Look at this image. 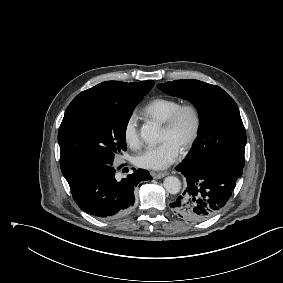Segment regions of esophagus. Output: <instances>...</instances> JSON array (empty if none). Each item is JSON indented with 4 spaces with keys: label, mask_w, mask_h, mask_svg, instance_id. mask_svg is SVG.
<instances>
[{
    "label": "esophagus",
    "mask_w": 283,
    "mask_h": 283,
    "mask_svg": "<svg viewBox=\"0 0 283 283\" xmlns=\"http://www.w3.org/2000/svg\"><path fill=\"white\" fill-rule=\"evenodd\" d=\"M168 173L167 172H160V173H152L154 179H161L165 177Z\"/></svg>",
    "instance_id": "esophagus-1"
}]
</instances>
